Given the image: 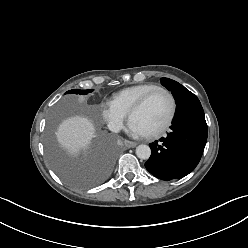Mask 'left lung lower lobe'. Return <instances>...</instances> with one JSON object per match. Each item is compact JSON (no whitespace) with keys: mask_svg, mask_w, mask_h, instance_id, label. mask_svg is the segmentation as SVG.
Here are the masks:
<instances>
[{"mask_svg":"<svg viewBox=\"0 0 248 248\" xmlns=\"http://www.w3.org/2000/svg\"><path fill=\"white\" fill-rule=\"evenodd\" d=\"M207 141V124L200 101L193 93L177 103L171 132L149 144L146 169L162 180L181 179L199 163Z\"/></svg>","mask_w":248,"mask_h":248,"instance_id":"obj_1","label":"left lung lower lobe"}]
</instances>
